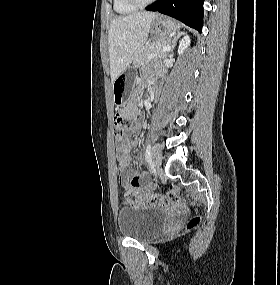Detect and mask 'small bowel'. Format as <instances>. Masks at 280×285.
I'll use <instances>...</instances> for the list:
<instances>
[{"instance_id": "1", "label": "small bowel", "mask_w": 280, "mask_h": 285, "mask_svg": "<svg viewBox=\"0 0 280 285\" xmlns=\"http://www.w3.org/2000/svg\"><path fill=\"white\" fill-rule=\"evenodd\" d=\"M125 113L129 114L132 118H135V112L131 109H125ZM137 147L136 140H124L119 143L117 150L120 154L118 158V167L121 171L120 184L123 188L133 191H147L152 188L151 184L147 181V174L142 171L135 170V166L132 164V158L130 152ZM132 170L133 175L128 177L127 171Z\"/></svg>"}]
</instances>
